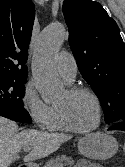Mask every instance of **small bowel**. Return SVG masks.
<instances>
[{
	"label": "small bowel",
	"instance_id": "c3829d8e",
	"mask_svg": "<svg viewBox=\"0 0 125 167\" xmlns=\"http://www.w3.org/2000/svg\"><path fill=\"white\" fill-rule=\"evenodd\" d=\"M75 167H102L101 165L97 163H91L87 160H80Z\"/></svg>",
	"mask_w": 125,
	"mask_h": 167
}]
</instances>
